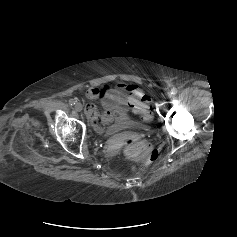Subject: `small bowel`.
<instances>
[{
    "label": "small bowel",
    "mask_w": 237,
    "mask_h": 237,
    "mask_svg": "<svg viewBox=\"0 0 237 237\" xmlns=\"http://www.w3.org/2000/svg\"><path fill=\"white\" fill-rule=\"evenodd\" d=\"M85 94L89 99L99 101L104 109L100 116L93 104L86 106L85 113L89 123L98 133L106 128H113L116 124L129 122L130 112L142 115L146 119L150 116L149 98L135 84L91 87Z\"/></svg>",
    "instance_id": "1"
}]
</instances>
